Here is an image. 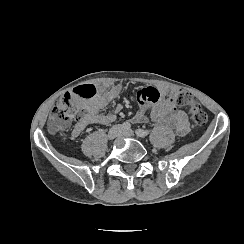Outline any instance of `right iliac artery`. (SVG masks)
Listing matches in <instances>:
<instances>
[{"instance_id":"82829eb1","label":"right iliac artery","mask_w":244,"mask_h":244,"mask_svg":"<svg viewBox=\"0 0 244 244\" xmlns=\"http://www.w3.org/2000/svg\"><path fill=\"white\" fill-rule=\"evenodd\" d=\"M122 128L123 129H130L131 128V124L128 122V121H126V122H124L123 124H122Z\"/></svg>"}]
</instances>
